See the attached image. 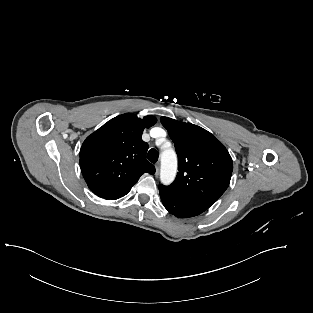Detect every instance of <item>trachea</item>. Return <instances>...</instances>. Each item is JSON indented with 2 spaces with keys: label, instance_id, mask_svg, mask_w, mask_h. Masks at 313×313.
<instances>
[{
  "label": "trachea",
  "instance_id": "1",
  "mask_svg": "<svg viewBox=\"0 0 313 313\" xmlns=\"http://www.w3.org/2000/svg\"><path fill=\"white\" fill-rule=\"evenodd\" d=\"M159 154L156 149H150L147 155V158L150 162L156 163L158 160Z\"/></svg>",
  "mask_w": 313,
  "mask_h": 313
}]
</instances>
